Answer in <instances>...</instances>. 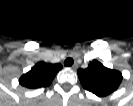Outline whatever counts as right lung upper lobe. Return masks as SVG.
<instances>
[{"mask_svg": "<svg viewBox=\"0 0 133 106\" xmlns=\"http://www.w3.org/2000/svg\"><path fill=\"white\" fill-rule=\"evenodd\" d=\"M61 69V64L39 62L29 72L24 74L19 82L22 86L30 89L47 87Z\"/></svg>", "mask_w": 133, "mask_h": 106, "instance_id": "obj_1", "label": "right lung upper lobe"}]
</instances>
